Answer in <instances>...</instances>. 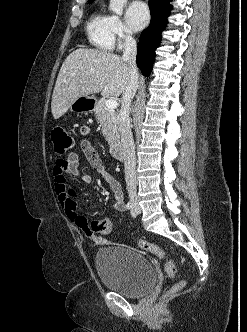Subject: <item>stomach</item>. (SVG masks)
<instances>
[{
  "label": "stomach",
  "instance_id": "0dacf381",
  "mask_svg": "<svg viewBox=\"0 0 247 332\" xmlns=\"http://www.w3.org/2000/svg\"><path fill=\"white\" fill-rule=\"evenodd\" d=\"M94 99L90 96H82L76 99L72 105L70 106V109L72 111H87L91 110L94 105Z\"/></svg>",
  "mask_w": 247,
  "mask_h": 332
}]
</instances>
